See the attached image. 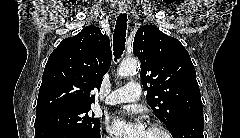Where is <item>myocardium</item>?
Returning a JSON list of instances; mask_svg holds the SVG:
<instances>
[{"mask_svg":"<svg viewBox=\"0 0 240 138\" xmlns=\"http://www.w3.org/2000/svg\"><path fill=\"white\" fill-rule=\"evenodd\" d=\"M148 129L161 133L163 138H172L171 133L161 125L151 124Z\"/></svg>","mask_w":240,"mask_h":138,"instance_id":"1","label":"myocardium"}]
</instances>
